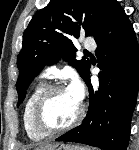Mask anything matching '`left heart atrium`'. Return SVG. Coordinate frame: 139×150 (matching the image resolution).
I'll return each mask as SVG.
<instances>
[{
  "label": "left heart atrium",
  "instance_id": "obj_1",
  "mask_svg": "<svg viewBox=\"0 0 139 150\" xmlns=\"http://www.w3.org/2000/svg\"><path fill=\"white\" fill-rule=\"evenodd\" d=\"M68 90L77 101L79 102L82 101L83 96H84V88L79 79L77 78L72 79L68 87Z\"/></svg>",
  "mask_w": 139,
  "mask_h": 150
}]
</instances>
